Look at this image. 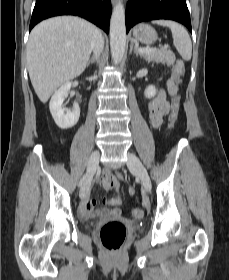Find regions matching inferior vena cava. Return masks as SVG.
<instances>
[{
  "label": "inferior vena cava",
  "instance_id": "1",
  "mask_svg": "<svg viewBox=\"0 0 229 280\" xmlns=\"http://www.w3.org/2000/svg\"><path fill=\"white\" fill-rule=\"evenodd\" d=\"M91 45H92V50L94 52V55L99 57L104 46V40L101 35V32L98 29H95L94 31Z\"/></svg>",
  "mask_w": 229,
  "mask_h": 280
}]
</instances>
